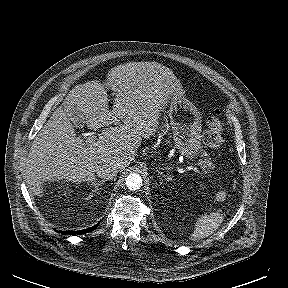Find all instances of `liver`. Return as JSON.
I'll use <instances>...</instances> for the list:
<instances>
[{"mask_svg": "<svg viewBox=\"0 0 288 288\" xmlns=\"http://www.w3.org/2000/svg\"><path fill=\"white\" fill-rule=\"evenodd\" d=\"M108 89L116 94L112 111ZM181 91L173 71L157 62L118 65L107 74L105 83L94 80L75 86L31 145L25 172L30 193L40 196L42 184L50 180L93 182L96 166L107 161L124 170L134 160L142 139L155 135L163 106ZM71 111L83 115L88 129L105 127L98 138L88 143L76 137Z\"/></svg>", "mask_w": 288, "mask_h": 288, "instance_id": "6515ba94", "label": "liver"}]
</instances>
